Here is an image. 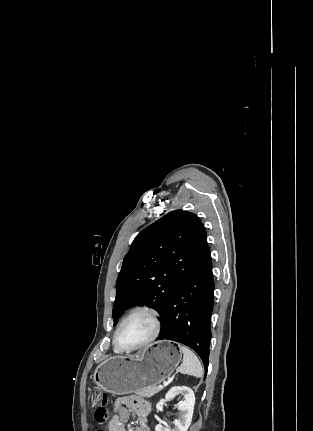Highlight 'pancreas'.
Returning a JSON list of instances; mask_svg holds the SVG:
<instances>
[{
	"instance_id": "pancreas-1",
	"label": "pancreas",
	"mask_w": 313,
	"mask_h": 431,
	"mask_svg": "<svg viewBox=\"0 0 313 431\" xmlns=\"http://www.w3.org/2000/svg\"><path fill=\"white\" fill-rule=\"evenodd\" d=\"M159 391L160 389L156 386H148L146 388H143L137 391L136 393L142 397L150 398L151 396L155 395Z\"/></svg>"
}]
</instances>
